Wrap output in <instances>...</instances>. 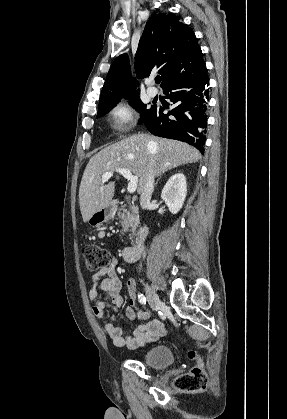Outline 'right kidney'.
Instances as JSON below:
<instances>
[{"label": "right kidney", "instance_id": "right-kidney-1", "mask_svg": "<svg viewBox=\"0 0 287 419\" xmlns=\"http://www.w3.org/2000/svg\"><path fill=\"white\" fill-rule=\"evenodd\" d=\"M187 195V184L184 174L177 173L165 184L161 198L172 214H177L183 206Z\"/></svg>", "mask_w": 287, "mask_h": 419}]
</instances>
